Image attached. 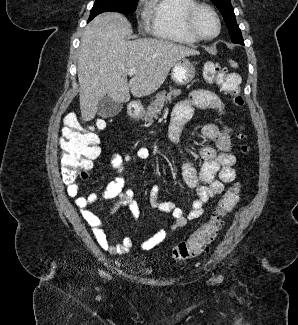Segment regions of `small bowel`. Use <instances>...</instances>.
<instances>
[{
  "label": "small bowel",
  "mask_w": 298,
  "mask_h": 325,
  "mask_svg": "<svg viewBox=\"0 0 298 325\" xmlns=\"http://www.w3.org/2000/svg\"><path fill=\"white\" fill-rule=\"evenodd\" d=\"M194 107L212 109L219 113L225 112V104L221 98L212 91L199 89L192 91L189 96L180 101L174 108L169 124L168 135L172 142L179 143L184 125L192 118ZM203 137L215 143V147L203 146L199 153L204 163L201 169L196 170L190 163L182 166V174L186 184L196 190L197 198L193 201L190 212L185 215L181 208L171 201H159L158 185H153L149 193L150 206L163 213H171L174 222L169 231L160 229L156 234L141 244L143 250H150L161 243L169 232L184 227L188 222L198 219L204 212V206L215 196L221 194L226 183L235 180L234 165L236 157L231 152L232 130L229 127H219L216 124H206L202 128ZM150 152L142 147L135 152L127 154H112L110 164L116 171L117 177L110 181L100 196L91 194L87 197L79 195L77 184L67 186L68 195L74 198L75 204L80 209L86 223L91 227L98 245L112 254L123 255L135 247L130 237H125L122 243L111 245L102 228L100 217L90 209V205L99 197L105 200H116L112 206L115 211L119 206H126L135 220L140 217V209L134 200L132 189L125 188L124 176L128 173V165L137 160L149 158Z\"/></svg>",
  "instance_id": "small-bowel-1"
}]
</instances>
